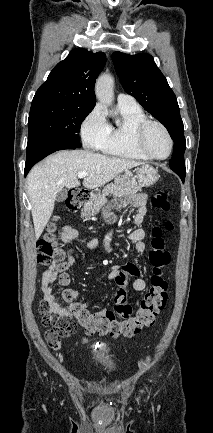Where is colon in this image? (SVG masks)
Wrapping results in <instances>:
<instances>
[{
	"mask_svg": "<svg viewBox=\"0 0 213 433\" xmlns=\"http://www.w3.org/2000/svg\"><path fill=\"white\" fill-rule=\"evenodd\" d=\"M90 193L84 189H72L68 192L66 206L69 210L75 211L88 201ZM152 207L156 210L167 212L170 209L168 195L165 190L158 189L155 191L152 200ZM164 228L167 232L174 231V224L166 221ZM38 262L48 264L52 260L60 261L63 253L58 248L56 227L54 224L49 225L46 235L38 242ZM149 261L153 267V273L150 279V287L141 298L135 312L127 302V293L123 289L129 275L127 271H120L115 277V281L120 285L115 298L113 310L104 313L90 311L84 304L75 300V292L71 289L63 291V299L73 318L89 333H99L111 337H135L141 331L155 322L156 316L164 308L168 297V282L164 275L163 269L170 262V254L166 250V244L163 238V231L160 227H154L151 232ZM61 265L63 262H56ZM61 283L66 284L68 277L64 273ZM42 322L46 326H52L54 331L60 336H67L74 332V325L64 318L49 314L46 309L42 308Z\"/></svg>",
	"mask_w": 213,
	"mask_h": 433,
	"instance_id": "5ec220e1",
	"label": "colon"
}]
</instances>
